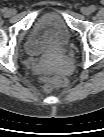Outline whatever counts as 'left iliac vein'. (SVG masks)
<instances>
[{"mask_svg":"<svg viewBox=\"0 0 104 137\" xmlns=\"http://www.w3.org/2000/svg\"><path fill=\"white\" fill-rule=\"evenodd\" d=\"M81 12H82V14L88 16V15H90L92 13V10H91L90 7H82L81 8Z\"/></svg>","mask_w":104,"mask_h":137,"instance_id":"1","label":"left iliac vein"}]
</instances>
